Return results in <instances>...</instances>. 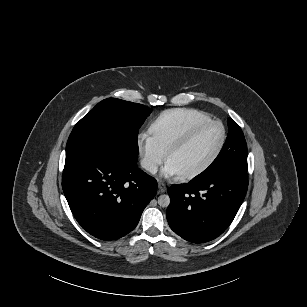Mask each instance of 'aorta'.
I'll return each mask as SVG.
<instances>
[{
  "instance_id": "obj_1",
  "label": "aorta",
  "mask_w": 307,
  "mask_h": 307,
  "mask_svg": "<svg viewBox=\"0 0 307 307\" xmlns=\"http://www.w3.org/2000/svg\"><path fill=\"white\" fill-rule=\"evenodd\" d=\"M158 204L162 207H167L170 204V197L168 195H160L158 197Z\"/></svg>"
}]
</instances>
